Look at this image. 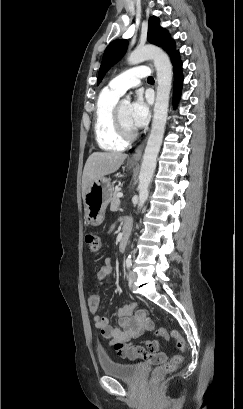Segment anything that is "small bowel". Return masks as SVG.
Segmentation results:
<instances>
[{"instance_id":"obj_1","label":"small bowel","mask_w":243,"mask_h":409,"mask_svg":"<svg viewBox=\"0 0 243 409\" xmlns=\"http://www.w3.org/2000/svg\"><path fill=\"white\" fill-rule=\"evenodd\" d=\"M130 222L126 221L125 227L128 229ZM113 257L106 255L103 259V265L98 272V280L101 284L106 283V279L113 273ZM138 302H133L122 306L112 315L118 321V327L110 324V318L107 315L97 313L99 303L95 309L90 308L93 313V322L101 335L108 339L110 346L116 353L130 360L143 359L148 362H160L165 360L164 353L159 351V343L156 340L145 339L140 343L135 341L140 339L145 332L152 330L153 324L150 318L140 310H136Z\"/></svg>"}]
</instances>
